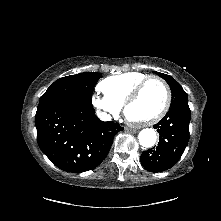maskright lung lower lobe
Segmentation results:
<instances>
[{
    "instance_id": "98d812e1",
    "label": "right lung lower lobe",
    "mask_w": 221,
    "mask_h": 221,
    "mask_svg": "<svg viewBox=\"0 0 221 221\" xmlns=\"http://www.w3.org/2000/svg\"><path fill=\"white\" fill-rule=\"evenodd\" d=\"M41 151L60 169L81 173L97 167L107 156L113 135L123 127L101 121L92 104L61 101L36 112Z\"/></svg>"
}]
</instances>
